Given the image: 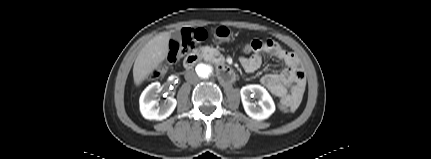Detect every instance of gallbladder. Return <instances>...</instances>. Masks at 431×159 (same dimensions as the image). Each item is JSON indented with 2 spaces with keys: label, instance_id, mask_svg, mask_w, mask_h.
I'll use <instances>...</instances> for the list:
<instances>
[{
  "label": "gallbladder",
  "instance_id": "obj_1",
  "mask_svg": "<svg viewBox=\"0 0 431 159\" xmlns=\"http://www.w3.org/2000/svg\"><path fill=\"white\" fill-rule=\"evenodd\" d=\"M171 37L173 40H175L178 43H180L182 41V36H181L180 31H173L171 33Z\"/></svg>",
  "mask_w": 431,
  "mask_h": 159
}]
</instances>
